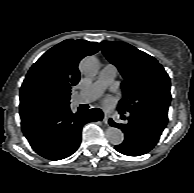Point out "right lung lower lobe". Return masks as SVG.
<instances>
[{
	"mask_svg": "<svg viewBox=\"0 0 194 193\" xmlns=\"http://www.w3.org/2000/svg\"><path fill=\"white\" fill-rule=\"evenodd\" d=\"M21 116L22 131L33 150L49 160H61L72 155L81 142L82 127L92 121H101L100 109L72 113L65 105Z\"/></svg>",
	"mask_w": 194,
	"mask_h": 193,
	"instance_id": "right-lung-lower-lobe-1",
	"label": "right lung lower lobe"
}]
</instances>
